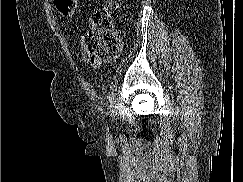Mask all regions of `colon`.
Here are the masks:
<instances>
[{
  "label": "colon",
  "mask_w": 243,
  "mask_h": 182,
  "mask_svg": "<svg viewBox=\"0 0 243 182\" xmlns=\"http://www.w3.org/2000/svg\"><path fill=\"white\" fill-rule=\"evenodd\" d=\"M55 6L64 18L73 16L77 0H54ZM117 0H106V4L91 15L88 51L91 57L110 60L121 50L118 34L114 31V10Z\"/></svg>",
  "instance_id": "5ec220e1"
}]
</instances>
